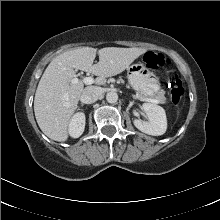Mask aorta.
<instances>
[{"label": "aorta", "mask_w": 220, "mask_h": 220, "mask_svg": "<svg viewBox=\"0 0 220 220\" xmlns=\"http://www.w3.org/2000/svg\"><path fill=\"white\" fill-rule=\"evenodd\" d=\"M106 100L108 103H116L118 101V94L116 92L110 91L106 94Z\"/></svg>", "instance_id": "1"}]
</instances>
